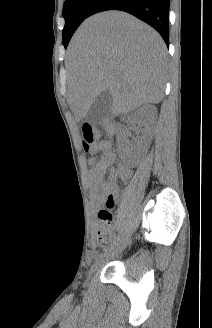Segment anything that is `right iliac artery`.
Here are the masks:
<instances>
[{
	"mask_svg": "<svg viewBox=\"0 0 212 328\" xmlns=\"http://www.w3.org/2000/svg\"><path fill=\"white\" fill-rule=\"evenodd\" d=\"M120 239H121L120 235L117 236V238H116L115 241L113 242V245L111 246V248H112L114 245L118 244V242L120 241ZM108 249H110V248H106V249H104V251L106 252Z\"/></svg>",
	"mask_w": 212,
	"mask_h": 328,
	"instance_id": "1",
	"label": "right iliac artery"
}]
</instances>
